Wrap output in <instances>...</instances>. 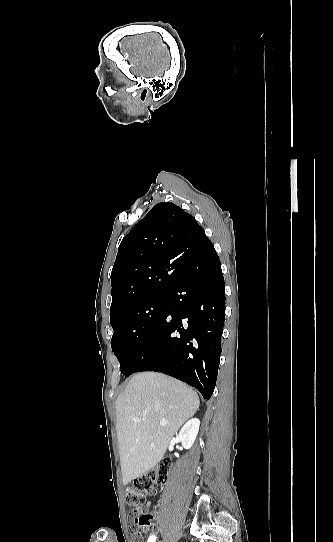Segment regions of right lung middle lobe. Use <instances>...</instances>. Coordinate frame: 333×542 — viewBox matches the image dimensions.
I'll return each mask as SVG.
<instances>
[{
	"label": "right lung middle lobe",
	"mask_w": 333,
	"mask_h": 542,
	"mask_svg": "<svg viewBox=\"0 0 333 542\" xmlns=\"http://www.w3.org/2000/svg\"><path fill=\"white\" fill-rule=\"evenodd\" d=\"M168 301V295L164 294L155 300L128 307L110 318L114 330L111 347L124 375L167 311Z\"/></svg>",
	"instance_id": "obj_1"
}]
</instances>
